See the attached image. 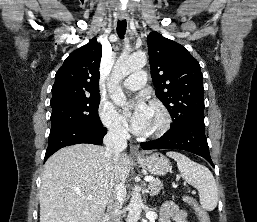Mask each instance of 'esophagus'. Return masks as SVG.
Instances as JSON below:
<instances>
[{
    "instance_id": "obj_1",
    "label": "esophagus",
    "mask_w": 257,
    "mask_h": 222,
    "mask_svg": "<svg viewBox=\"0 0 257 222\" xmlns=\"http://www.w3.org/2000/svg\"><path fill=\"white\" fill-rule=\"evenodd\" d=\"M127 17H128V16H127V14H126L125 12H120V13H119V18H120L121 20H124V19H126ZM130 155H131L132 157H141V156H142V154H141V152L139 151L138 147L135 146V145H131V146H130Z\"/></svg>"
}]
</instances>
